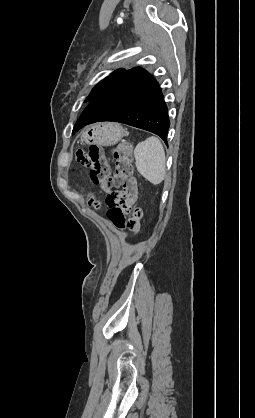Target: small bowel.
<instances>
[{
    "mask_svg": "<svg viewBox=\"0 0 255 418\" xmlns=\"http://www.w3.org/2000/svg\"><path fill=\"white\" fill-rule=\"evenodd\" d=\"M127 204H131L137 197V183L135 179H130L124 184L122 192Z\"/></svg>",
    "mask_w": 255,
    "mask_h": 418,
    "instance_id": "small-bowel-1",
    "label": "small bowel"
}]
</instances>
